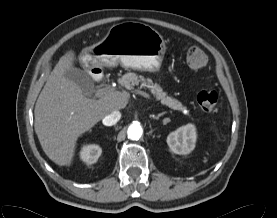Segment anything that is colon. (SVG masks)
Here are the masks:
<instances>
[{"label":"colon","instance_id":"5ec220e1","mask_svg":"<svg viewBox=\"0 0 277 218\" xmlns=\"http://www.w3.org/2000/svg\"><path fill=\"white\" fill-rule=\"evenodd\" d=\"M186 63L189 68L198 70L207 63L206 53L198 46L189 48L186 54ZM197 101L201 109L207 113H215L218 107V94L214 90H202L197 95Z\"/></svg>","mask_w":277,"mask_h":218}]
</instances>
